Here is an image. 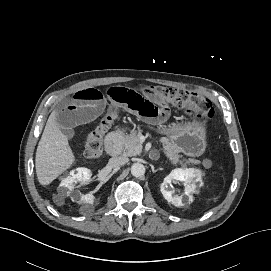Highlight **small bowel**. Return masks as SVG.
Wrapping results in <instances>:
<instances>
[{"mask_svg": "<svg viewBox=\"0 0 271 271\" xmlns=\"http://www.w3.org/2000/svg\"><path fill=\"white\" fill-rule=\"evenodd\" d=\"M109 106L150 124H161L170 114L166 102L158 98L151 88L138 91L114 86L106 93L87 88L75 92L68 103L49 118L47 129L50 133L59 132L71 140L78 126L93 123Z\"/></svg>", "mask_w": 271, "mask_h": 271, "instance_id": "obj_1", "label": "small bowel"}]
</instances>
